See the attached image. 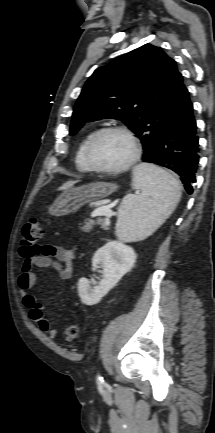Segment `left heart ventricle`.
<instances>
[{"mask_svg": "<svg viewBox=\"0 0 215 433\" xmlns=\"http://www.w3.org/2000/svg\"><path fill=\"white\" fill-rule=\"evenodd\" d=\"M132 147L128 139L119 133H108L100 137L92 148L93 162L104 168L123 165L131 156Z\"/></svg>", "mask_w": 215, "mask_h": 433, "instance_id": "b2bd125f", "label": "left heart ventricle"}]
</instances>
